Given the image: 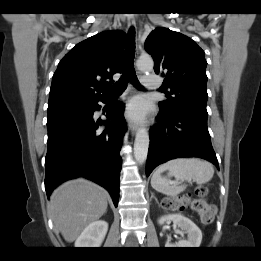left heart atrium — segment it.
Masks as SVG:
<instances>
[{
    "label": "left heart atrium",
    "instance_id": "1",
    "mask_svg": "<svg viewBox=\"0 0 261 261\" xmlns=\"http://www.w3.org/2000/svg\"><path fill=\"white\" fill-rule=\"evenodd\" d=\"M129 114L134 119H142L146 114V107L142 100L134 99L129 105Z\"/></svg>",
    "mask_w": 261,
    "mask_h": 261
}]
</instances>
